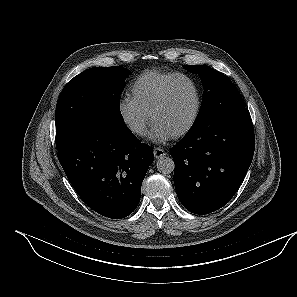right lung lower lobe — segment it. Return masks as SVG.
Segmentation results:
<instances>
[{
	"label": "right lung lower lobe",
	"instance_id": "obj_1",
	"mask_svg": "<svg viewBox=\"0 0 297 297\" xmlns=\"http://www.w3.org/2000/svg\"><path fill=\"white\" fill-rule=\"evenodd\" d=\"M58 159L73 188L91 209L120 219L137 207L154 155L124 123L94 121L58 149Z\"/></svg>",
	"mask_w": 297,
	"mask_h": 297
}]
</instances>
